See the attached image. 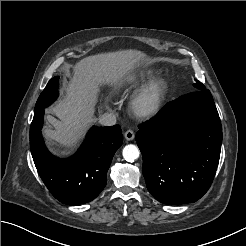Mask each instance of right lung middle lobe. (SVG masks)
I'll use <instances>...</instances> for the list:
<instances>
[{
	"label": "right lung middle lobe",
	"instance_id": "dd1d6c3e",
	"mask_svg": "<svg viewBox=\"0 0 246 246\" xmlns=\"http://www.w3.org/2000/svg\"><path fill=\"white\" fill-rule=\"evenodd\" d=\"M58 80L59 77L55 76L48 82L37 100L35 110L48 107L57 98L59 87Z\"/></svg>",
	"mask_w": 246,
	"mask_h": 246
}]
</instances>
